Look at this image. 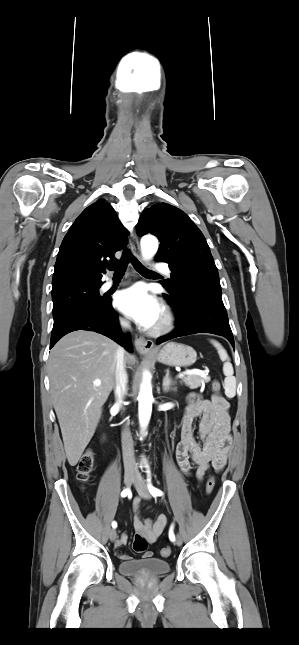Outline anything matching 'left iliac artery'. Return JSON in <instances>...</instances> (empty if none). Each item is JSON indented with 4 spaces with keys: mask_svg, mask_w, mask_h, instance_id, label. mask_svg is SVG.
Wrapping results in <instances>:
<instances>
[{
    "mask_svg": "<svg viewBox=\"0 0 299 645\" xmlns=\"http://www.w3.org/2000/svg\"><path fill=\"white\" fill-rule=\"evenodd\" d=\"M147 472H148V488H149V492H150V493L152 494V496H154V497H156V496H161V495H162V491H161V490H159V489H157L156 487H154V486L151 484L150 471L148 470ZM169 539H170L171 541H175V535H174V532H173V525L170 527V530H169Z\"/></svg>",
    "mask_w": 299,
    "mask_h": 645,
    "instance_id": "obj_1",
    "label": "left iliac artery"
}]
</instances>
